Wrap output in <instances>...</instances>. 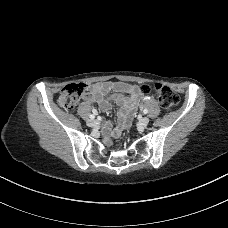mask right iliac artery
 <instances>
[{"label":"right iliac artery","instance_id":"1","mask_svg":"<svg viewBox=\"0 0 228 228\" xmlns=\"http://www.w3.org/2000/svg\"><path fill=\"white\" fill-rule=\"evenodd\" d=\"M93 113H94V114H91V115L89 116L91 119H94V118H95V115H96L97 111L94 109V110H93Z\"/></svg>","mask_w":228,"mask_h":228}]
</instances>
